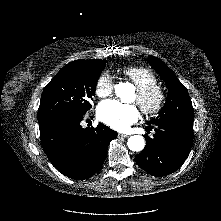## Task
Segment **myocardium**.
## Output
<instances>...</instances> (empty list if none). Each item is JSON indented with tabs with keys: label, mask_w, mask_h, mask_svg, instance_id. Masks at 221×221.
I'll return each instance as SVG.
<instances>
[{
	"label": "myocardium",
	"mask_w": 221,
	"mask_h": 221,
	"mask_svg": "<svg viewBox=\"0 0 221 221\" xmlns=\"http://www.w3.org/2000/svg\"><path fill=\"white\" fill-rule=\"evenodd\" d=\"M136 102L145 115H157L166 102L165 90L158 84L137 89Z\"/></svg>",
	"instance_id": "1"
}]
</instances>
